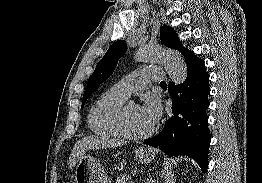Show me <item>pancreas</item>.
<instances>
[{
	"label": "pancreas",
	"instance_id": "cf45deb5",
	"mask_svg": "<svg viewBox=\"0 0 262 183\" xmlns=\"http://www.w3.org/2000/svg\"><path fill=\"white\" fill-rule=\"evenodd\" d=\"M116 183H134V182L132 181L130 175L123 174L118 176Z\"/></svg>",
	"mask_w": 262,
	"mask_h": 183
}]
</instances>
